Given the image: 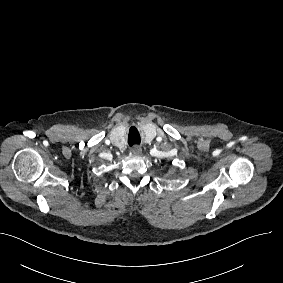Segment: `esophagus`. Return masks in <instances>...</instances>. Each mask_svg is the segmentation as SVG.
<instances>
[{"mask_svg": "<svg viewBox=\"0 0 283 283\" xmlns=\"http://www.w3.org/2000/svg\"><path fill=\"white\" fill-rule=\"evenodd\" d=\"M131 152L134 154V155H140L142 153V148L138 145H135L131 148Z\"/></svg>", "mask_w": 283, "mask_h": 283, "instance_id": "1", "label": "esophagus"}]
</instances>
